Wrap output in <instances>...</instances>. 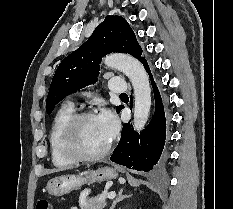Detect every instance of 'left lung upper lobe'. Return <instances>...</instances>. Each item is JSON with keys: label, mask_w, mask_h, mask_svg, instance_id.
I'll return each instance as SVG.
<instances>
[{"label": "left lung upper lobe", "mask_w": 233, "mask_h": 209, "mask_svg": "<svg viewBox=\"0 0 233 209\" xmlns=\"http://www.w3.org/2000/svg\"><path fill=\"white\" fill-rule=\"evenodd\" d=\"M111 52L127 53L139 61L142 58L135 34L121 16H107L91 37L59 64L46 100L47 113L51 114L55 105L70 92L96 82L99 63ZM116 109L119 113L122 106Z\"/></svg>", "instance_id": "obj_1"}]
</instances>
